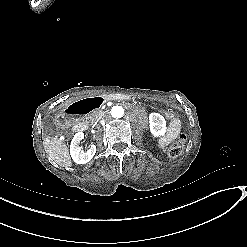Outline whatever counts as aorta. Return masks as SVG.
Wrapping results in <instances>:
<instances>
[{
    "mask_svg": "<svg viewBox=\"0 0 247 247\" xmlns=\"http://www.w3.org/2000/svg\"><path fill=\"white\" fill-rule=\"evenodd\" d=\"M111 115L116 119L123 117L124 108L122 106H113L111 109Z\"/></svg>",
    "mask_w": 247,
    "mask_h": 247,
    "instance_id": "762f6f07",
    "label": "aorta"
}]
</instances>
